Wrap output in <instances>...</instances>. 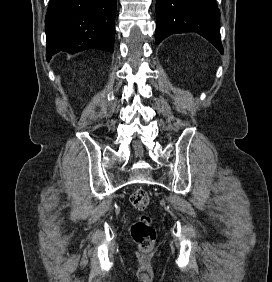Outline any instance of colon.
Wrapping results in <instances>:
<instances>
[{
	"mask_svg": "<svg viewBox=\"0 0 272 282\" xmlns=\"http://www.w3.org/2000/svg\"><path fill=\"white\" fill-rule=\"evenodd\" d=\"M132 206L141 212L149 207V196L147 192L138 188L130 196ZM131 236L134 242L143 251H150L156 240V231L148 214H142L131 227Z\"/></svg>",
	"mask_w": 272,
	"mask_h": 282,
	"instance_id": "colon-1",
	"label": "colon"
}]
</instances>
